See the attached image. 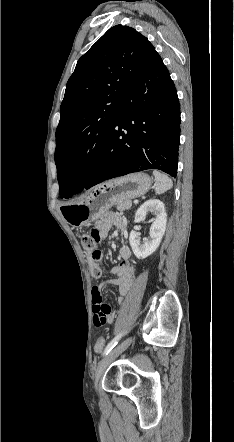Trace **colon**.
I'll list each match as a JSON object with an SVG mask.
<instances>
[{"label":"colon","instance_id":"obj_1","mask_svg":"<svg viewBox=\"0 0 234 442\" xmlns=\"http://www.w3.org/2000/svg\"><path fill=\"white\" fill-rule=\"evenodd\" d=\"M99 235L96 229H90L82 236V243L84 248L90 253V255L96 260L98 259L100 252L97 250V243L99 242ZM91 274L94 278L101 276V268L97 262L91 264ZM92 310L93 314H107L110 310V306L103 302L101 292L97 289L92 290ZM104 342L101 339L95 342V355L101 356L103 351Z\"/></svg>","mask_w":234,"mask_h":442}]
</instances>
